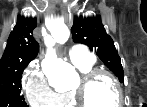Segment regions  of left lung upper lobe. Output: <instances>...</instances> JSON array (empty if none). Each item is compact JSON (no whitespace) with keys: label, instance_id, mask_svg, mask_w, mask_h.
Instances as JSON below:
<instances>
[{"label":"left lung upper lobe","instance_id":"left-lung-upper-lobe-1","mask_svg":"<svg viewBox=\"0 0 147 107\" xmlns=\"http://www.w3.org/2000/svg\"><path fill=\"white\" fill-rule=\"evenodd\" d=\"M71 32L75 43L85 44L90 50L96 51L97 56L118 77L119 81L124 82L120 57L100 17L75 19Z\"/></svg>","mask_w":147,"mask_h":107}]
</instances>
